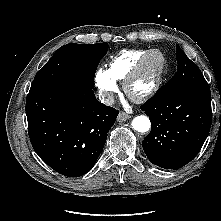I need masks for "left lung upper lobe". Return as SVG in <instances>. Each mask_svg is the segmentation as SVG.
Wrapping results in <instances>:
<instances>
[{
    "label": "left lung upper lobe",
    "instance_id": "5c2ea615",
    "mask_svg": "<svg viewBox=\"0 0 221 221\" xmlns=\"http://www.w3.org/2000/svg\"><path fill=\"white\" fill-rule=\"evenodd\" d=\"M177 72L157 93L182 91L189 89L210 90L208 83L199 68L176 45Z\"/></svg>",
    "mask_w": 221,
    "mask_h": 221
}]
</instances>
